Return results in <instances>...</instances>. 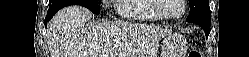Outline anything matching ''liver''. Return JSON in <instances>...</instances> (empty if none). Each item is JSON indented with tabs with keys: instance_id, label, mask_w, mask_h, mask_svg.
Wrapping results in <instances>:
<instances>
[{
	"instance_id": "liver-1",
	"label": "liver",
	"mask_w": 249,
	"mask_h": 57,
	"mask_svg": "<svg viewBox=\"0 0 249 57\" xmlns=\"http://www.w3.org/2000/svg\"><path fill=\"white\" fill-rule=\"evenodd\" d=\"M92 13L78 5L57 12L49 24L52 57H157L168 31L130 22H103L86 28Z\"/></svg>"
}]
</instances>
